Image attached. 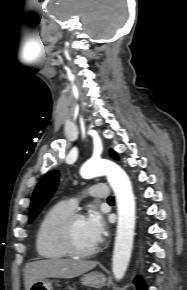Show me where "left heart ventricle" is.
Returning <instances> with one entry per match:
<instances>
[{
    "instance_id": "obj_1",
    "label": "left heart ventricle",
    "mask_w": 187,
    "mask_h": 290,
    "mask_svg": "<svg viewBox=\"0 0 187 290\" xmlns=\"http://www.w3.org/2000/svg\"><path fill=\"white\" fill-rule=\"evenodd\" d=\"M73 237L78 248L87 250L97 245L86 224V218L79 219L73 227Z\"/></svg>"
}]
</instances>
